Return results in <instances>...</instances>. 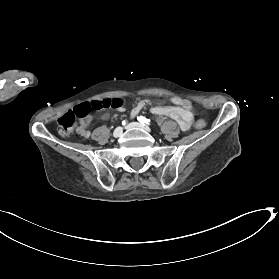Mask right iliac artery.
<instances>
[{"instance_id": "1", "label": "right iliac artery", "mask_w": 279, "mask_h": 279, "mask_svg": "<svg viewBox=\"0 0 279 279\" xmlns=\"http://www.w3.org/2000/svg\"><path fill=\"white\" fill-rule=\"evenodd\" d=\"M122 124L125 126L126 125V120L122 121Z\"/></svg>"}]
</instances>
